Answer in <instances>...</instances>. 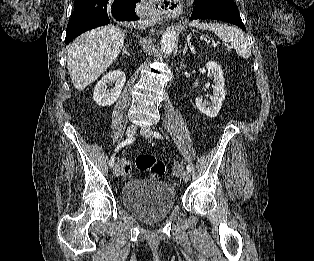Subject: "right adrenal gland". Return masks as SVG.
Here are the masks:
<instances>
[{"label":"right adrenal gland","instance_id":"obj_1","mask_svg":"<svg viewBox=\"0 0 314 261\" xmlns=\"http://www.w3.org/2000/svg\"><path fill=\"white\" fill-rule=\"evenodd\" d=\"M122 55H127V56H130V53L127 51L126 47L124 46L123 49H122Z\"/></svg>","mask_w":314,"mask_h":261}]
</instances>
